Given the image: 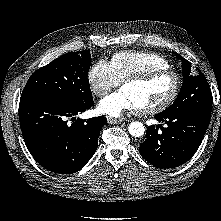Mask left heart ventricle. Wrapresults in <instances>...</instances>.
Listing matches in <instances>:
<instances>
[{
  "instance_id": "obj_1",
  "label": "left heart ventricle",
  "mask_w": 221,
  "mask_h": 221,
  "mask_svg": "<svg viewBox=\"0 0 221 221\" xmlns=\"http://www.w3.org/2000/svg\"><path fill=\"white\" fill-rule=\"evenodd\" d=\"M135 101L139 109L159 104L173 89V78L161 76L147 83H131L122 87Z\"/></svg>"
}]
</instances>
